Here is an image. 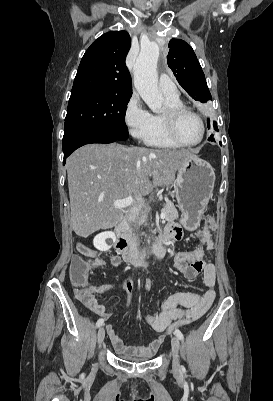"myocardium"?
I'll use <instances>...</instances> for the list:
<instances>
[{
  "label": "myocardium",
  "mask_w": 273,
  "mask_h": 401,
  "mask_svg": "<svg viewBox=\"0 0 273 401\" xmlns=\"http://www.w3.org/2000/svg\"><path fill=\"white\" fill-rule=\"evenodd\" d=\"M191 114L196 116L201 124L202 127V136L200 138V140L193 142V143H187L185 141H183L177 134L176 131V125H177V121L178 118L183 115V114ZM166 132L168 134V136L177 144H179L182 147H195L200 145L206 138L207 136V126H206V122L203 118V116L198 113L195 110H192L184 105H176V106H172L169 105L167 106L166 110L164 111V113L161 114Z\"/></svg>",
  "instance_id": "myocardium-1"
}]
</instances>
